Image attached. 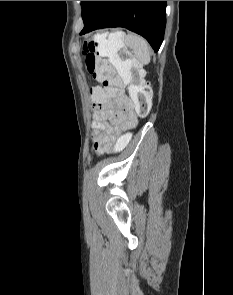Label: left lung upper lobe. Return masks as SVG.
I'll list each match as a JSON object with an SVG mask.
<instances>
[{
    "instance_id": "obj_1",
    "label": "left lung upper lobe",
    "mask_w": 233,
    "mask_h": 295,
    "mask_svg": "<svg viewBox=\"0 0 233 295\" xmlns=\"http://www.w3.org/2000/svg\"><path fill=\"white\" fill-rule=\"evenodd\" d=\"M96 1H81L83 22L89 17Z\"/></svg>"
}]
</instances>
